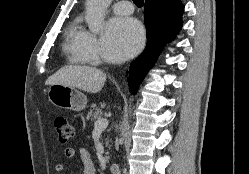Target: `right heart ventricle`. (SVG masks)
Listing matches in <instances>:
<instances>
[{
  "label": "right heart ventricle",
  "instance_id": "1",
  "mask_svg": "<svg viewBox=\"0 0 249 174\" xmlns=\"http://www.w3.org/2000/svg\"><path fill=\"white\" fill-rule=\"evenodd\" d=\"M84 34L85 30L79 20L73 21L66 31L63 47L69 61L73 64L86 65L91 63L82 51Z\"/></svg>",
  "mask_w": 249,
  "mask_h": 174
}]
</instances>
